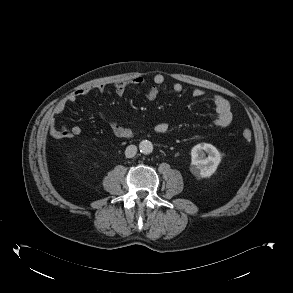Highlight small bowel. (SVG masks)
Returning <instances> with one entry per match:
<instances>
[{
    "label": "small bowel",
    "instance_id": "obj_1",
    "mask_svg": "<svg viewBox=\"0 0 293 293\" xmlns=\"http://www.w3.org/2000/svg\"><path fill=\"white\" fill-rule=\"evenodd\" d=\"M166 85V79L162 74L154 75L152 83L149 84L142 77L134 78L131 81H120L114 84V91L118 96L125 94L129 86H137L144 88L145 96L149 100H154L160 93L162 87ZM171 90L180 93L183 91V86L179 82H174L170 86ZM93 89L103 92L105 90L104 84H99L95 87H81L76 91L70 93L65 99L58 102L54 108L50 111L48 115V121L51 125V135L55 138H72L81 134L82 129L80 126H73L69 131L60 132L53 127L55 116L61 114L68 103L75 102L79 97L88 95ZM205 91L201 88H195L192 91V95L196 98L204 96ZM213 105L215 111V119L213 121V126L218 129L227 128L233 118L231 105L227 99L220 95H215L213 97ZM100 117L104 119L110 126L113 134L118 138L127 139L133 135L130 128L125 127L117 123L114 119L100 114ZM169 130V125L166 122H159L155 125V131L159 134H164Z\"/></svg>",
    "mask_w": 293,
    "mask_h": 293
}]
</instances>
